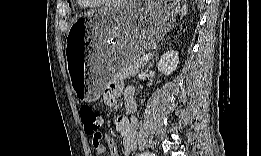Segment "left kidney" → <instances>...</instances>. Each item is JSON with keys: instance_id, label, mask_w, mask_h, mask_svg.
Masks as SVG:
<instances>
[{"instance_id": "obj_1", "label": "left kidney", "mask_w": 261, "mask_h": 156, "mask_svg": "<svg viewBox=\"0 0 261 156\" xmlns=\"http://www.w3.org/2000/svg\"><path fill=\"white\" fill-rule=\"evenodd\" d=\"M179 64V57L177 51L170 50L166 52L158 62L157 68L158 70L168 76L176 70Z\"/></svg>"}]
</instances>
